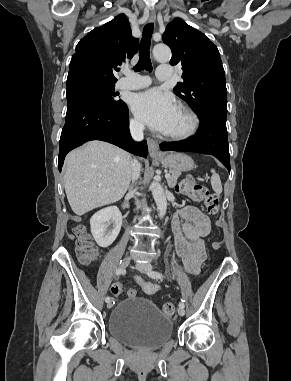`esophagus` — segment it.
<instances>
[{"label": "esophagus", "instance_id": "1", "mask_svg": "<svg viewBox=\"0 0 291 381\" xmlns=\"http://www.w3.org/2000/svg\"><path fill=\"white\" fill-rule=\"evenodd\" d=\"M147 18H148L149 23H153L156 19L155 11L151 10L149 12V14L147 15ZM147 143H148V149H149L150 155H160L161 154V152L159 150V144L155 139L150 138V139H148Z\"/></svg>", "mask_w": 291, "mask_h": 381}]
</instances>
